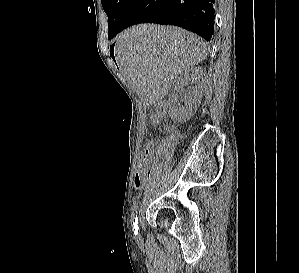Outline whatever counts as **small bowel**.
<instances>
[{
  "mask_svg": "<svg viewBox=\"0 0 299 273\" xmlns=\"http://www.w3.org/2000/svg\"><path fill=\"white\" fill-rule=\"evenodd\" d=\"M151 122L152 124H156L158 122V117L156 115H151ZM142 158L146 161V163H148L150 161V154H148L147 156H145L144 152L142 154ZM146 178H142L141 180L137 181V179H134V187L136 189L141 188L144 184H145Z\"/></svg>",
  "mask_w": 299,
  "mask_h": 273,
  "instance_id": "small-bowel-1",
  "label": "small bowel"
}]
</instances>
